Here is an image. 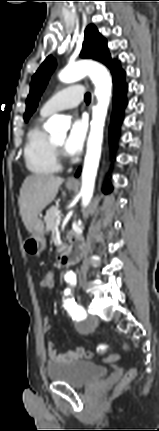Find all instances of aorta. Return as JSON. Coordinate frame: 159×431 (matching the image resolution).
<instances>
[{"mask_svg": "<svg viewBox=\"0 0 159 431\" xmlns=\"http://www.w3.org/2000/svg\"><path fill=\"white\" fill-rule=\"evenodd\" d=\"M87 75L95 85L97 105L93 108L91 130L87 142V152L82 171L80 194L82 197L83 207H87L89 205L93 196L94 183L101 155L103 127L111 97L112 81L109 72L104 66L91 61H81L68 65L59 73L58 76L60 81L63 83H73ZM46 129L52 134H64L68 129V123L62 116L54 115L48 120ZM74 278L75 274L72 271H68L65 274V279L67 281H71Z\"/></svg>", "mask_w": 159, "mask_h": 431, "instance_id": "aorta-1", "label": "aorta"}]
</instances>
